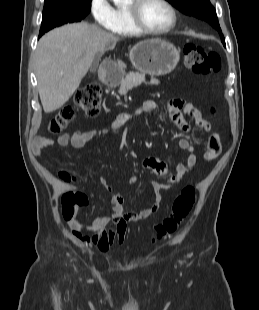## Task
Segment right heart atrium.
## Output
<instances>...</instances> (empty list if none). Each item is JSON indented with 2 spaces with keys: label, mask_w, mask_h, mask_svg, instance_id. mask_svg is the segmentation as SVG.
Returning a JSON list of instances; mask_svg holds the SVG:
<instances>
[{
  "label": "right heart atrium",
  "mask_w": 259,
  "mask_h": 310,
  "mask_svg": "<svg viewBox=\"0 0 259 310\" xmlns=\"http://www.w3.org/2000/svg\"><path fill=\"white\" fill-rule=\"evenodd\" d=\"M90 12L95 22L107 29L115 25V10L108 0H90Z\"/></svg>",
  "instance_id": "1"
}]
</instances>
